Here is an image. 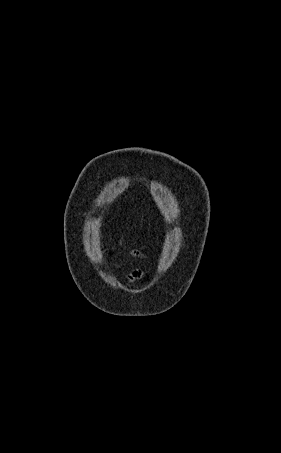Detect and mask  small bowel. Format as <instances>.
Masks as SVG:
<instances>
[{
	"instance_id": "obj_1",
	"label": "small bowel",
	"mask_w": 281,
	"mask_h": 453,
	"mask_svg": "<svg viewBox=\"0 0 281 453\" xmlns=\"http://www.w3.org/2000/svg\"><path fill=\"white\" fill-rule=\"evenodd\" d=\"M128 254L132 258L145 259L144 255L135 251H129ZM127 278L131 281H139L144 278V273L140 268H132L131 270L128 271Z\"/></svg>"
}]
</instances>
